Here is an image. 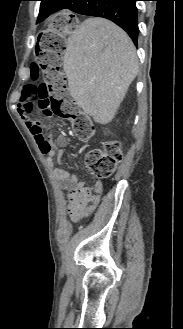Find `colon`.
Instances as JSON below:
<instances>
[{
  "mask_svg": "<svg viewBox=\"0 0 183 329\" xmlns=\"http://www.w3.org/2000/svg\"><path fill=\"white\" fill-rule=\"evenodd\" d=\"M80 26L79 14H48L45 25H39L35 38H39L30 56V73L27 86L21 87L19 114H39L44 118L53 116L71 120L76 136L90 139L94 126L89 118L81 113L68 92L67 74L61 70L63 38H76ZM47 138L41 140L43 153L50 149ZM123 159L122 146L117 141L104 142L100 148L89 151L85 164L97 179H107L113 175ZM74 197L80 201L78 192Z\"/></svg>",
  "mask_w": 183,
  "mask_h": 329,
  "instance_id": "5ec220e1",
  "label": "colon"
}]
</instances>
